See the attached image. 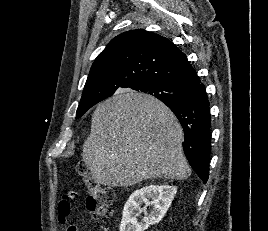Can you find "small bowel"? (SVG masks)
<instances>
[{
	"mask_svg": "<svg viewBox=\"0 0 268 231\" xmlns=\"http://www.w3.org/2000/svg\"><path fill=\"white\" fill-rule=\"evenodd\" d=\"M71 203L67 196L62 197L58 204L57 222L59 225L66 227L67 231H79L75 224L70 223Z\"/></svg>",
	"mask_w": 268,
	"mask_h": 231,
	"instance_id": "c3829d8e",
	"label": "small bowel"
}]
</instances>
